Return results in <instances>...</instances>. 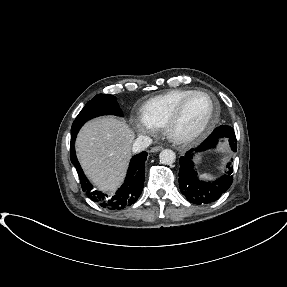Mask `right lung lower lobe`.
<instances>
[{"label":"right lung lower lobe","instance_id":"obj_1","mask_svg":"<svg viewBox=\"0 0 287 287\" xmlns=\"http://www.w3.org/2000/svg\"><path fill=\"white\" fill-rule=\"evenodd\" d=\"M75 139L76 136L71 137L70 159L77 170L82 189L86 195L103 208L110 210H120L135 203L141 195L144 186L147 152L143 151L133 156L123 185L119 188L116 194L109 197L102 192L93 190V186L86 178L79 162L77 161L74 148Z\"/></svg>","mask_w":287,"mask_h":287}]
</instances>
